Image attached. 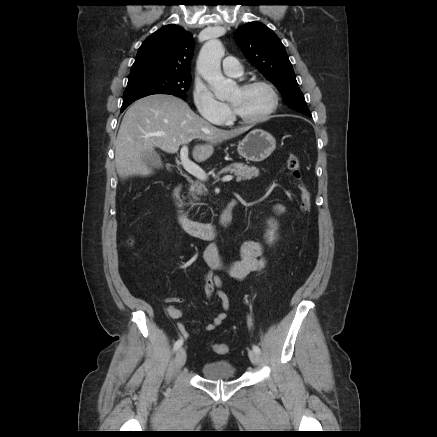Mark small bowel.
Returning a JSON list of instances; mask_svg holds the SVG:
<instances>
[{"instance_id": "c3829d8e", "label": "small bowel", "mask_w": 437, "mask_h": 437, "mask_svg": "<svg viewBox=\"0 0 437 437\" xmlns=\"http://www.w3.org/2000/svg\"><path fill=\"white\" fill-rule=\"evenodd\" d=\"M275 211L280 214L284 211V208L282 205L277 204ZM206 258L212 270L224 269L231 277L237 280H243L249 274L261 271L265 266L263 245L254 240L245 241L241 246L240 259L228 265L222 262L215 247H211L207 251ZM215 286L220 288L216 291V297L221 302L222 311L210 323L205 325V331H213L218 328L228 317L230 309L229 299L221 289L222 282L220 278L209 272L205 277V291L208 298H212ZM167 312L173 319H179L183 316V311L172 304L167 307ZM178 330L183 338L187 339L189 337V332L183 323H178Z\"/></svg>"}]
</instances>
